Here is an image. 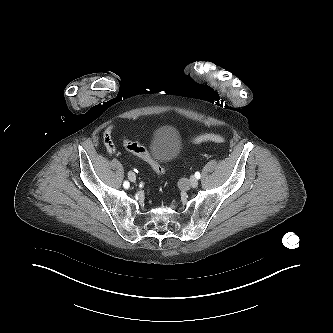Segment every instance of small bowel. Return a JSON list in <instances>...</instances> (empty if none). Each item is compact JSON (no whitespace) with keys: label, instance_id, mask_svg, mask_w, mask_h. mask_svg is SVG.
I'll return each instance as SVG.
<instances>
[{"label":"small bowel","instance_id":"1","mask_svg":"<svg viewBox=\"0 0 333 333\" xmlns=\"http://www.w3.org/2000/svg\"><path fill=\"white\" fill-rule=\"evenodd\" d=\"M115 126L116 125L114 123L108 125L103 133V140H104L106 149H107L108 153H110V154H114L116 151L114 142L112 140V132H113Z\"/></svg>","mask_w":333,"mask_h":333}]
</instances>
